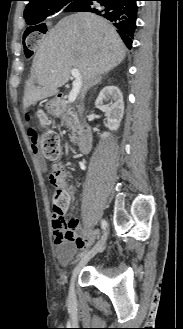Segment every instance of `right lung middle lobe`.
<instances>
[{
    "mask_svg": "<svg viewBox=\"0 0 183 329\" xmlns=\"http://www.w3.org/2000/svg\"><path fill=\"white\" fill-rule=\"evenodd\" d=\"M81 1L82 0H61L52 4L50 6V9H48L44 14L31 17L29 18V20L25 19L29 25H34L33 27L30 28V31H34V30L41 31L43 24H40V22H42L45 18L53 14H56L60 11H72L74 8H76L79 5Z\"/></svg>",
    "mask_w": 183,
    "mask_h": 329,
    "instance_id": "1",
    "label": "right lung middle lobe"
}]
</instances>
